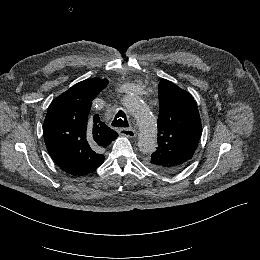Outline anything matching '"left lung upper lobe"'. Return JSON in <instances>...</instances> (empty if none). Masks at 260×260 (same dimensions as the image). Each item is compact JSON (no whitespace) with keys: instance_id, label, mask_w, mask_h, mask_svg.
<instances>
[{"instance_id":"1","label":"left lung upper lobe","mask_w":260,"mask_h":260,"mask_svg":"<svg viewBox=\"0 0 260 260\" xmlns=\"http://www.w3.org/2000/svg\"><path fill=\"white\" fill-rule=\"evenodd\" d=\"M158 147L147 165L159 172L176 173L191 162L202 126L193 97L168 80L159 84Z\"/></svg>"}]
</instances>
